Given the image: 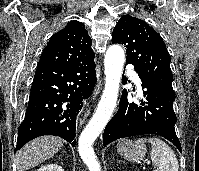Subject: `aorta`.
<instances>
[{"label": "aorta", "mask_w": 199, "mask_h": 171, "mask_svg": "<svg viewBox=\"0 0 199 171\" xmlns=\"http://www.w3.org/2000/svg\"><path fill=\"white\" fill-rule=\"evenodd\" d=\"M124 58V50L118 45H112L106 51L105 88L96 112L79 138L78 151L90 171H100V165L95 157L92 144L102 132L114 111L118 98Z\"/></svg>", "instance_id": "762f6f07"}]
</instances>
